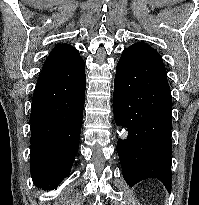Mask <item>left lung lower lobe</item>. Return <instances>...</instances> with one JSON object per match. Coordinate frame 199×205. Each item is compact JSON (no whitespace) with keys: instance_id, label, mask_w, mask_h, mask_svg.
<instances>
[{"instance_id":"0a47b994","label":"left lung lower lobe","mask_w":199,"mask_h":205,"mask_svg":"<svg viewBox=\"0 0 199 205\" xmlns=\"http://www.w3.org/2000/svg\"><path fill=\"white\" fill-rule=\"evenodd\" d=\"M172 97L160 54L144 42L126 48L117 64L113 111L128 136L118 140L123 177L132 187L159 179L171 192Z\"/></svg>"}]
</instances>
